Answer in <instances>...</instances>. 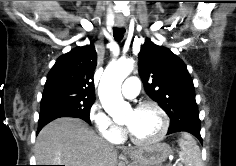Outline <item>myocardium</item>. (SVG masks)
<instances>
[{
  "mask_svg": "<svg viewBox=\"0 0 236 166\" xmlns=\"http://www.w3.org/2000/svg\"><path fill=\"white\" fill-rule=\"evenodd\" d=\"M145 108H153L159 113V115L161 117V130L155 137H153L151 139H147V140H142V139L135 137L130 132V130L127 129L126 133H127L128 137L130 138V140L134 144L140 145V146H149V145H154V144L160 142L166 136L168 128H169L168 115L165 112V110L158 103H156L154 101H143V102H140L139 104L136 105V107L134 108V111H140Z\"/></svg>",
  "mask_w": 236,
  "mask_h": 166,
  "instance_id": "obj_1",
  "label": "myocardium"
}]
</instances>
